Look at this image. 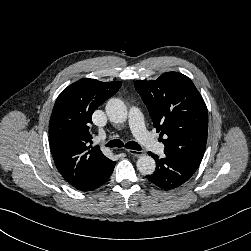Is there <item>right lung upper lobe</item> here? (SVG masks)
<instances>
[{
	"mask_svg": "<svg viewBox=\"0 0 251 251\" xmlns=\"http://www.w3.org/2000/svg\"><path fill=\"white\" fill-rule=\"evenodd\" d=\"M120 81L80 79L58 96L49 123V142L55 165L72 186L107 162L99 146L92 147L89 125L93 112L121 87Z\"/></svg>",
	"mask_w": 251,
	"mask_h": 251,
	"instance_id": "cb5924a9",
	"label": "right lung upper lobe"
}]
</instances>
